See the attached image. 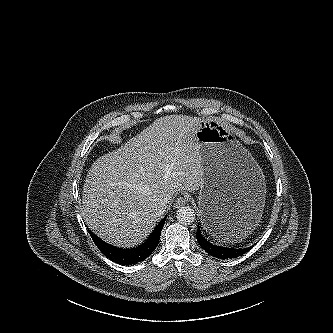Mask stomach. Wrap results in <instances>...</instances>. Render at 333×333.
Instances as JSON below:
<instances>
[{
  "mask_svg": "<svg viewBox=\"0 0 333 333\" xmlns=\"http://www.w3.org/2000/svg\"><path fill=\"white\" fill-rule=\"evenodd\" d=\"M196 139L203 169L199 214L207 236L235 246L252 235L265 204L262 169L236 136L216 120H203Z\"/></svg>",
  "mask_w": 333,
  "mask_h": 333,
  "instance_id": "stomach-1",
  "label": "stomach"
}]
</instances>
